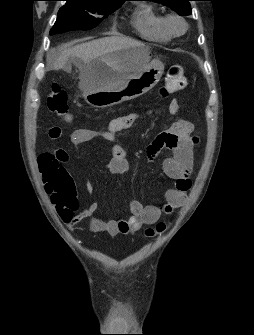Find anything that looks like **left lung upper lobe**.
<instances>
[{"label":"left lung upper lobe","mask_w":254,"mask_h":335,"mask_svg":"<svg viewBox=\"0 0 254 335\" xmlns=\"http://www.w3.org/2000/svg\"><path fill=\"white\" fill-rule=\"evenodd\" d=\"M160 2L175 10L180 16L190 15L192 13L189 1L191 0H146Z\"/></svg>","instance_id":"left-lung-upper-lobe-1"}]
</instances>
